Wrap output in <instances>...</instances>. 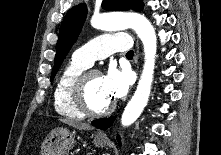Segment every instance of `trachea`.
Listing matches in <instances>:
<instances>
[{"label":"trachea","mask_w":221,"mask_h":155,"mask_svg":"<svg viewBox=\"0 0 221 155\" xmlns=\"http://www.w3.org/2000/svg\"><path fill=\"white\" fill-rule=\"evenodd\" d=\"M133 55H134L133 50H130V51L127 52L126 57H131L132 58Z\"/></svg>","instance_id":"3493384b"}]
</instances>
